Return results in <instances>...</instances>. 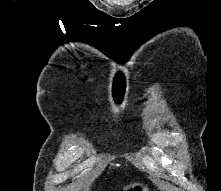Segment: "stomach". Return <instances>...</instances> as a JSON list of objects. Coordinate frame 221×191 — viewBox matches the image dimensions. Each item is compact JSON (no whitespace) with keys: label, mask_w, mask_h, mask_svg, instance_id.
<instances>
[{"label":"stomach","mask_w":221,"mask_h":191,"mask_svg":"<svg viewBox=\"0 0 221 191\" xmlns=\"http://www.w3.org/2000/svg\"><path fill=\"white\" fill-rule=\"evenodd\" d=\"M124 191H148V186L141 182H134L123 187Z\"/></svg>","instance_id":"obj_1"}]
</instances>
